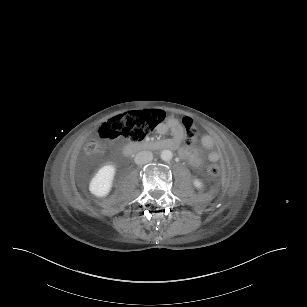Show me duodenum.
I'll list each match as a JSON object with an SVG mask.
<instances>
[{
    "mask_svg": "<svg viewBox=\"0 0 307 307\" xmlns=\"http://www.w3.org/2000/svg\"><path fill=\"white\" fill-rule=\"evenodd\" d=\"M173 142L170 140H154V141H145L138 143H129L125 145V152H137L147 149H165L171 150L173 148Z\"/></svg>",
    "mask_w": 307,
    "mask_h": 307,
    "instance_id": "obj_1",
    "label": "duodenum"
}]
</instances>
